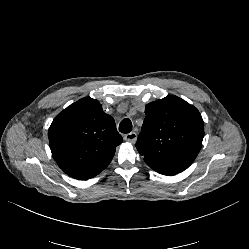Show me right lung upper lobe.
I'll return each mask as SVG.
<instances>
[{"label": "right lung upper lobe", "mask_w": 249, "mask_h": 249, "mask_svg": "<svg viewBox=\"0 0 249 249\" xmlns=\"http://www.w3.org/2000/svg\"><path fill=\"white\" fill-rule=\"evenodd\" d=\"M48 137L58 166L79 180L93 178L104 170L123 141L114 119L90 97L80 99L58 114Z\"/></svg>", "instance_id": "1"}]
</instances>
